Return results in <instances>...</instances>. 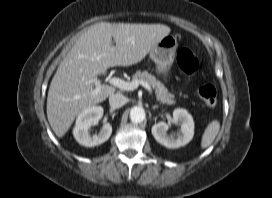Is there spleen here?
<instances>
[{"instance_id":"3e777b00","label":"spleen","mask_w":272,"mask_h":198,"mask_svg":"<svg viewBox=\"0 0 272 198\" xmlns=\"http://www.w3.org/2000/svg\"><path fill=\"white\" fill-rule=\"evenodd\" d=\"M219 130H220V122L218 120H212L207 125L201 139L202 149L209 147L213 143Z\"/></svg>"}]
</instances>
